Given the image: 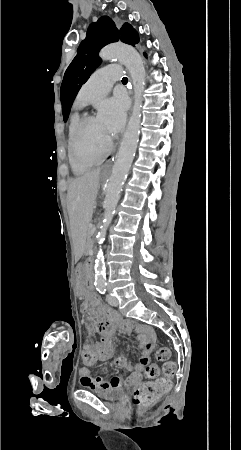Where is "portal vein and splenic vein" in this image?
<instances>
[{"instance_id":"1","label":"portal vein and splenic vein","mask_w":241,"mask_h":450,"mask_svg":"<svg viewBox=\"0 0 241 450\" xmlns=\"http://www.w3.org/2000/svg\"><path fill=\"white\" fill-rule=\"evenodd\" d=\"M91 230H92V231H90V234L93 236L94 233H95L94 231L97 230V227H96V226H93Z\"/></svg>"}]
</instances>
